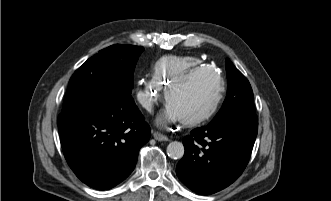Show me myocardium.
Listing matches in <instances>:
<instances>
[{"label": "myocardium", "mask_w": 331, "mask_h": 201, "mask_svg": "<svg viewBox=\"0 0 331 201\" xmlns=\"http://www.w3.org/2000/svg\"><path fill=\"white\" fill-rule=\"evenodd\" d=\"M204 72H210L216 76V78L219 81V91H218L217 95L215 96L214 100L212 101V103L204 111H202L201 113H199L193 117L180 119L186 125L197 124V123L209 118L211 115H213L215 113V111L219 107V105L224 97V94H225L226 86H225L224 78L222 77L221 74L216 72L214 69L209 68L208 66H203V67L196 68V69L189 71L179 81V83L177 85H175L174 87L169 88L167 90L166 102H167V104L170 105L172 97L176 91H178L181 88L186 87L189 84V82H191L198 74L204 73Z\"/></svg>", "instance_id": "1"}]
</instances>
